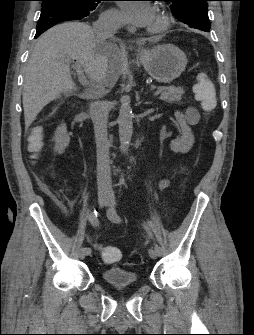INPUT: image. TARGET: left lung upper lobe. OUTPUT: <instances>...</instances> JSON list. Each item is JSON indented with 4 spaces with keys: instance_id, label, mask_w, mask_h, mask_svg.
Here are the masks:
<instances>
[{
    "instance_id": "obj_1",
    "label": "left lung upper lobe",
    "mask_w": 254,
    "mask_h": 335,
    "mask_svg": "<svg viewBox=\"0 0 254 335\" xmlns=\"http://www.w3.org/2000/svg\"><path fill=\"white\" fill-rule=\"evenodd\" d=\"M170 5L172 14L191 28L210 31L208 1L210 0H164Z\"/></svg>"
}]
</instances>
